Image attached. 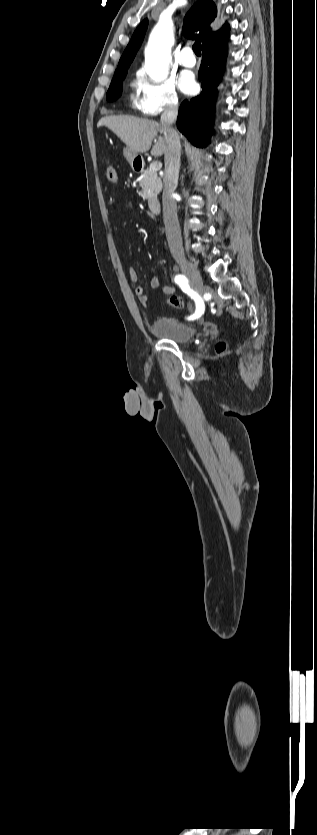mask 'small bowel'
<instances>
[{"mask_svg":"<svg viewBox=\"0 0 317 835\" xmlns=\"http://www.w3.org/2000/svg\"><path fill=\"white\" fill-rule=\"evenodd\" d=\"M132 206H133L132 202L127 203V207L131 208ZM128 276H129V279H130L131 283L133 284L134 292L137 295V297L139 298V301L141 302L142 305H144V306L147 305L148 304V296L146 295V293L144 291V288L140 285H137V282H138L137 270L133 267H130L129 270H128ZM150 286H151L152 289H162L163 293L166 294V295H171V294L175 293V288L173 286L162 285L159 278L156 277V276L151 277ZM195 311H196V306H195Z\"/></svg>","mask_w":317,"mask_h":835,"instance_id":"1","label":"small bowel"}]
</instances>
